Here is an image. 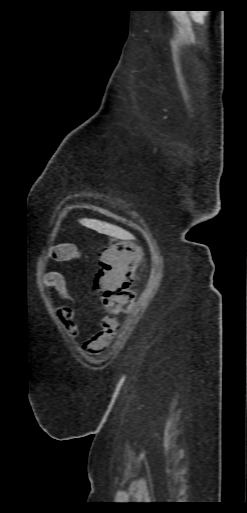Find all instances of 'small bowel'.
I'll use <instances>...</instances> for the list:
<instances>
[{
	"label": "small bowel",
	"mask_w": 247,
	"mask_h": 513,
	"mask_svg": "<svg viewBox=\"0 0 247 513\" xmlns=\"http://www.w3.org/2000/svg\"><path fill=\"white\" fill-rule=\"evenodd\" d=\"M73 246L64 244L55 247L51 251V259L55 261H68L71 259ZM42 287L45 290L56 289L64 298L71 299L66 285L65 277L58 271H47L42 277ZM58 313L63 323L66 333L70 336H76L78 326L74 320L75 310L72 306H63L59 308ZM119 322L115 317H106L101 326V330L85 343V349L89 354L95 355L106 351L117 335Z\"/></svg>",
	"instance_id": "obj_1"
}]
</instances>
